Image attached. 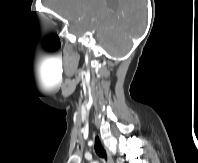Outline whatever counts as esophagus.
Masks as SVG:
<instances>
[{"mask_svg":"<svg viewBox=\"0 0 198 163\" xmlns=\"http://www.w3.org/2000/svg\"><path fill=\"white\" fill-rule=\"evenodd\" d=\"M104 148H105V150H106V154H107V160H106V163H114V161H113V158H112V155H111L110 151H109L106 147H104Z\"/></svg>","mask_w":198,"mask_h":163,"instance_id":"esophagus-1","label":"esophagus"}]
</instances>
